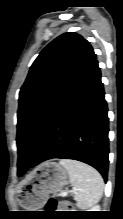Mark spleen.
<instances>
[{"label":"spleen","instance_id":"spleen-1","mask_svg":"<svg viewBox=\"0 0 123 219\" xmlns=\"http://www.w3.org/2000/svg\"><path fill=\"white\" fill-rule=\"evenodd\" d=\"M69 175L70 183L76 190L74 199L77 207L87 209L94 206L101 198L104 181L100 173L81 162L69 159L60 160Z\"/></svg>","mask_w":123,"mask_h":219}]
</instances>
